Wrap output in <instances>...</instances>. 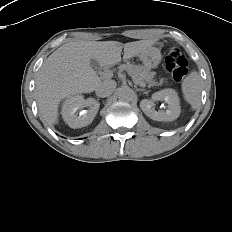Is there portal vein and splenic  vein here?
I'll return each instance as SVG.
<instances>
[{
	"label": "portal vein and splenic vein",
	"instance_id": "obj_1",
	"mask_svg": "<svg viewBox=\"0 0 232 232\" xmlns=\"http://www.w3.org/2000/svg\"><path fill=\"white\" fill-rule=\"evenodd\" d=\"M108 74H109V73H108ZM140 85H141V86H145V83H144V82H141Z\"/></svg>",
	"mask_w": 232,
	"mask_h": 232
}]
</instances>
